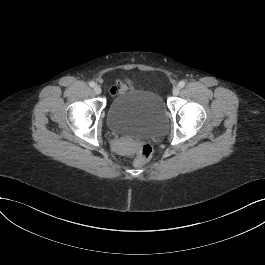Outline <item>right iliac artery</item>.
Instances as JSON below:
<instances>
[{
  "label": "right iliac artery",
  "instance_id": "1",
  "mask_svg": "<svg viewBox=\"0 0 265 265\" xmlns=\"http://www.w3.org/2000/svg\"><path fill=\"white\" fill-rule=\"evenodd\" d=\"M89 86H90V87H94V86H95V82L91 81V82L89 83Z\"/></svg>",
  "mask_w": 265,
  "mask_h": 265
}]
</instances>
